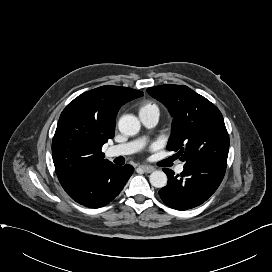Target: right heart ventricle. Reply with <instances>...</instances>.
Here are the masks:
<instances>
[{
    "label": "right heart ventricle",
    "instance_id": "right-heart-ventricle-1",
    "mask_svg": "<svg viewBox=\"0 0 272 272\" xmlns=\"http://www.w3.org/2000/svg\"><path fill=\"white\" fill-rule=\"evenodd\" d=\"M150 110H157L158 111L157 105L152 102H145L144 104L141 105L139 112H145V111H150Z\"/></svg>",
    "mask_w": 272,
    "mask_h": 272
}]
</instances>
